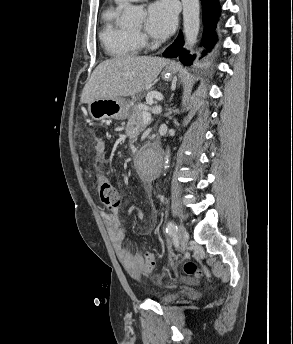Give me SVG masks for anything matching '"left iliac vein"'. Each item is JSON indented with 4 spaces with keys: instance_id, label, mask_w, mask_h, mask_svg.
<instances>
[{
    "instance_id": "left-iliac-vein-1",
    "label": "left iliac vein",
    "mask_w": 293,
    "mask_h": 344,
    "mask_svg": "<svg viewBox=\"0 0 293 344\" xmlns=\"http://www.w3.org/2000/svg\"><path fill=\"white\" fill-rule=\"evenodd\" d=\"M177 240L180 246V250H184L188 244L189 233L183 225H180L179 227V230L177 232Z\"/></svg>"
}]
</instances>
